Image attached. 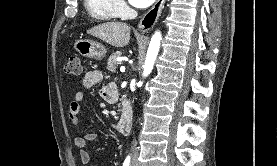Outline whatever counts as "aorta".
Returning <instances> with one entry per match:
<instances>
[{
  "label": "aorta",
  "mask_w": 277,
  "mask_h": 166,
  "mask_svg": "<svg viewBox=\"0 0 277 166\" xmlns=\"http://www.w3.org/2000/svg\"><path fill=\"white\" fill-rule=\"evenodd\" d=\"M161 39H162V36L160 31H156L151 38V41L147 50L145 65H144V71H143L144 77H147L151 73L154 67V63L160 49Z\"/></svg>",
  "instance_id": "aorta-1"
}]
</instances>
